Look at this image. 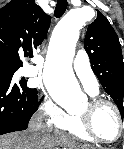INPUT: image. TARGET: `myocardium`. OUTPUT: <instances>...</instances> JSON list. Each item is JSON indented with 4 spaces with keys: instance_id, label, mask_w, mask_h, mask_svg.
Returning a JSON list of instances; mask_svg holds the SVG:
<instances>
[{
    "instance_id": "obj_1",
    "label": "myocardium",
    "mask_w": 124,
    "mask_h": 149,
    "mask_svg": "<svg viewBox=\"0 0 124 149\" xmlns=\"http://www.w3.org/2000/svg\"><path fill=\"white\" fill-rule=\"evenodd\" d=\"M88 104H89L88 111L84 113H80L78 116L80 119L82 128L87 133V135H89L94 141H97L103 144H114L120 141L124 137V117L119 107L114 102L100 97L92 98ZM101 106L111 107L116 115V118L119 124V133H118V136L113 140H107L100 137L96 133L93 127V113Z\"/></svg>"
}]
</instances>
